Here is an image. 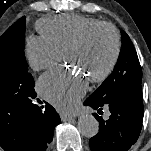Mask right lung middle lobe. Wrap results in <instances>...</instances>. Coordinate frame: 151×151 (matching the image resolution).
<instances>
[{
    "mask_svg": "<svg viewBox=\"0 0 151 151\" xmlns=\"http://www.w3.org/2000/svg\"><path fill=\"white\" fill-rule=\"evenodd\" d=\"M25 23L20 18L0 37V99L17 104L30 103L35 94L24 55Z\"/></svg>",
    "mask_w": 151,
    "mask_h": 151,
    "instance_id": "right-lung-middle-lobe-1",
    "label": "right lung middle lobe"
}]
</instances>
